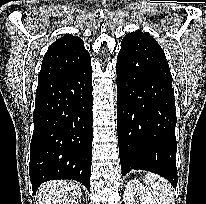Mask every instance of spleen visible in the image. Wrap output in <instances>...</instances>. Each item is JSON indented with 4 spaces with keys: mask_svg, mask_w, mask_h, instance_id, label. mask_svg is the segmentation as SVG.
Wrapping results in <instances>:
<instances>
[{
    "mask_svg": "<svg viewBox=\"0 0 206 204\" xmlns=\"http://www.w3.org/2000/svg\"><path fill=\"white\" fill-rule=\"evenodd\" d=\"M144 183L149 187L150 193L158 204H170L172 201V186L163 177L155 173H147Z\"/></svg>",
    "mask_w": 206,
    "mask_h": 204,
    "instance_id": "1",
    "label": "spleen"
}]
</instances>
